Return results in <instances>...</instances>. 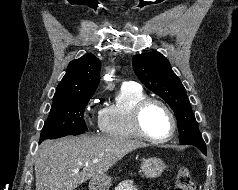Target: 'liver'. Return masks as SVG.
I'll return each instance as SVG.
<instances>
[{"label":"liver","instance_id":"6515ba94","mask_svg":"<svg viewBox=\"0 0 238 190\" xmlns=\"http://www.w3.org/2000/svg\"><path fill=\"white\" fill-rule=\"evenodd\" d=\"M141 147L145 144L139 141L111 137L45 141L35 158L36 190H74L104 175L125 155Z\"/></svg>","mask_w":238,"mask_h":190}]
</instances>
